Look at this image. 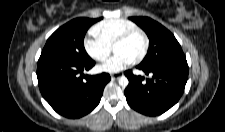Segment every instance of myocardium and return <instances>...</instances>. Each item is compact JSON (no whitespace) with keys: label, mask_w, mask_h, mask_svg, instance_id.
Listing matches in <instances>:
<instances>
[{"label":"myocardium","mask_w":225,"mask_h":132,"mask_svg":"<svg viewBox=\"0 0 225 132\" xmlns=\"http://www.w3.org/2000/svg\"><path fill=\"white\" fill-rule=\"evenodd\" d=\"M135 34H139L142 36L143 40H144V48L143 51L141 52V54L135 58L134 60H132L133 63H140L142 62L145 57L147 56L148 52H149V48H150V40L148 35L140 28H133L130 30H127L126 32H124L123 34H121L116 41L113 44V50H115V48L126 42L127 40H129L132 36H134Z\"/></svg>","instance_id":"1"}]
</instances>
